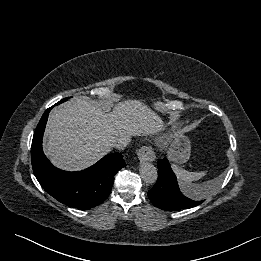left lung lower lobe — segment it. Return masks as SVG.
<instances>
[{
	"instance_id": "obj_1",
	"label": "left lung lower lobe",
	"mask_w": 261,
	"mask_h": 261,
	"mask_svg": "<svg viewBox=\"0 0 261 261\" xmlns=\"http://www.w3.org/2000/svg\"><path fill=\"white\" fill-rule=\"evenodd\" d=\"M193 193L182 191L166 158L158 161V179L148 191L150 201L163 210H180L198 206L203 201L195 199Z\"/></svg>"
}]
</instances>
